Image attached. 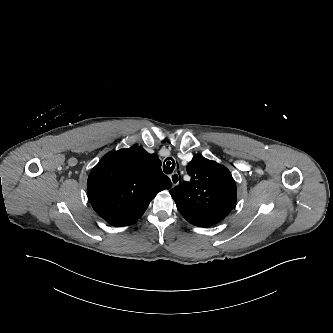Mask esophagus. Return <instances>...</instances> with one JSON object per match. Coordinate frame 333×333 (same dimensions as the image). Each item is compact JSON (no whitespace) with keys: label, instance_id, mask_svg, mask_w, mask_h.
I'll return each instance as SVG.
<instances>
[{"label":"esophagus","instance_id":"obj_1","mask_svg":"<svg viewBox=\"0 0 333 333\" xmlns=\"http://www.w3.org/2000/svg\"><path fill=\"white\" fill-rule=\"evenodd\" d=\"M170 180L172 182L173 187L178 185L180 182V175L178 172H174L170 175Z\"/></svg>","mask_w":333,"mask_h":333}]
</instances>
